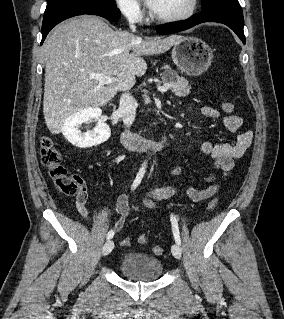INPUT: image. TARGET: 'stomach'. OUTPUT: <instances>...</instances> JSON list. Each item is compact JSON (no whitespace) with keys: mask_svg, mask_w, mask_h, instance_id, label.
I'll return each instance as SVG.
<instances>
[{"mask_svg":"<svg viewBox=\"0 0 284 319\" xmlns=\"http://www.w3.org/2000/svg\"><path fill=\"white\" fill-rule=\"evenodd\" d=\"M173 62L189 76L204 73L211 65L213 51L207 43L196 37H182L173 45Z\"/></svg>","mask_w":284,"mask_h":319,"instance_id":"stomach-1","label":"stomach"}]
</instances>
